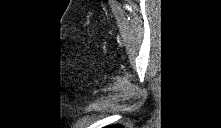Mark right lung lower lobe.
<instances>
[{"mask_svg": "<svg viewBox=\"0 0 221 128\" xmlns=\"http://www.w3.org/2000/svg\"><path fill=\"white\" fill-rule=\"evenodd\" d=\"M109 127L115 128V127H117V126H109Z\"/></svg>", "mask_w": 221, "mask_h": 128, "instance_id": "98d812e1", "label": "right lung lower lobe"}]
</instances>
